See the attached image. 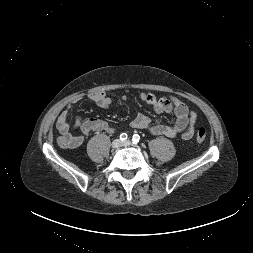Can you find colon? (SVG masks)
<instances>
[{
  "label": "colon",
  "mask_w": 253,
  "mask_h": 253,
  "mask_svg": "<svg viewBox=\"0 0 253 253\" xmlns=\"http://www.w3.org/2000/svg\"><path fill=\"white\" fill-rule=\"evenodd\" d=\"M205 139H206V131H205V129L204 128H199L198 131H197V133H196V140H197V142L202 143V142L205 141ZM59 143L63 147H66V145H67L66 140L64 138H62V137L59 139Z\"/></svg>",
  "instance_id": "colon-1"
}]
</instances>
